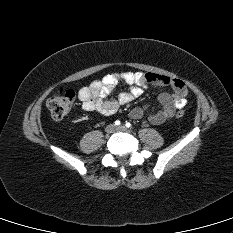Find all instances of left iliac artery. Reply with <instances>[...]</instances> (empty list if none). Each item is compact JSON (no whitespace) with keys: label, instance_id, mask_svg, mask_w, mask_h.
<instances>
[{"label":"left iliac artery","instance_id":"left-iliac-artery-1","mask_svg":"<svg viewBox=\"0 0 233 233\" xmlns=\"http://www.w3.org/2000/svg\"><path fill=\"white\" fill-rule=\"evenodd\" d=\"M125 125H126V127H128V128L131 127V123H129V122H126Z\"/></svg>","mask_w":233,"mask_h":233}]
</instances>
